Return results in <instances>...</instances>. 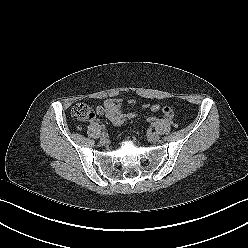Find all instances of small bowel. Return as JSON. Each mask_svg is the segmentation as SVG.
Instances as JSON below:
<instances>
[{
  "label": "small bowel",
  "mask_w": 248,
  "mask_h": 248,
  "mask_svg": "<svg viewBox=\"0 0 248 248\" xmlns=\"http://www.w3.org/2000/svg\"><path fill=\"white\" fill-rule=\"evenodd\" d=\"M130 104H133L131 101ZM144 109L152 112L161 111L166 119H172L174 111L170 106H160L159 104H144ZM99 115L105 116L112 124L116 126L122 125L126 120L134 118L137 113L135 111H123L122 102L120 100L107 99L103 104L96 107Z\"/></svg>",
  "instance_id": "c3829d8e"
}]
</instances>
